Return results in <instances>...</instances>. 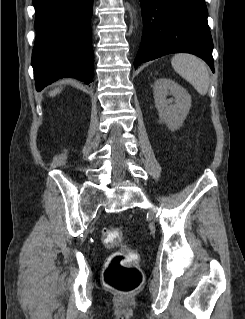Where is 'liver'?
I'll return each mask as SVG.
<instances>
[{
	"instance_id": "obj_1",
	"label": "liver",
	"mask_w": 245,
	"mask_h": 319,
	"mask_svg": "<svg viewBox=\"0 0 245 319\" xmlns=\"http://www.w3.org/2000/svg\"><path fill=\"white\" fill-rule=\"evenodd\" d=\"M59 92H60L59 89H55L54 91H52V92L50 93V95H51V96H54V95H56V94L59 93Z\"/></svg>"
}]
</instances>
